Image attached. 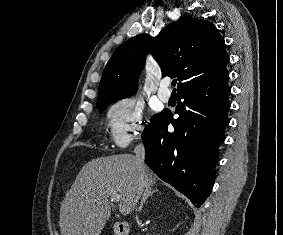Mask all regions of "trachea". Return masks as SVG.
I'll return each mask as SVG.
<instances>
[{
  "mask_svg": "<svg viewBox=\"0 0 283 235\" xmlns=\"http://www.w3.org/2000/svg\"><path fill=\"white\" fill-rule=\"evenodd\" d=\"M176 83H177V81H176V79H174L171 84H172V86H175Z\"/></svg>",
  "mask_w": 283,
  "mask_h": 235,
  "instance_id": "3493384b",
  "label": "trachea"
}]
</instances>
